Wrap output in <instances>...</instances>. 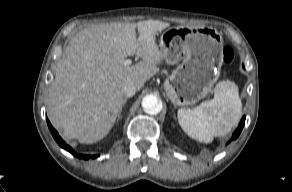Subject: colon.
Segmentation results:
<instances>
[{
  "instance_id": "5ec220e1",
  "label": "colon",
  "mask_w": 292,
  "mask_h": 192,
  "mask_svg": "<svg viewBox=\"0 0 292 192\" xmlns=\"http://www.w3.org/2000/svg\"><path fill=\"white\" fill-rule=\"evenodd\" d=\"M223 61L226 64L232 63L234 59V52L230 47H225L222 52Z\"/></svg>"
}]
</instances>
